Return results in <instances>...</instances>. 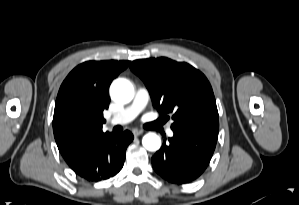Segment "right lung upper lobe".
I'll return each instance as SVG.
<instances>
[{
	"label": "right lung upper lobe",
	"mask_w": 299,
	"mask_h": 205,
	"mask_svg": "<svg viewBox=\"0 0 299 205\" xmlns=\"http://www.w3.org/2000/svg\"><path fill=\"white\" fill-rule=\"evenodd\" d=\"M130 61H88L78 65L62 83L53 116L54 137L68 165L88 146L110 133L102 131L112 80Z\"/></svg>",
	"instance_id": "1"
}]
</instances>
